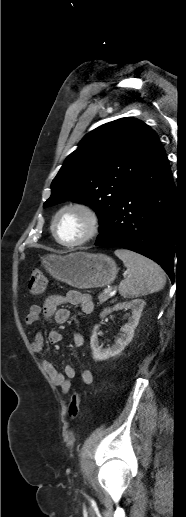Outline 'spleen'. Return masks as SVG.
I'll use <instances>...</instances> for the list:
<instances>
[{
  "label": "spleen",
  "mask_w": 186,
  "mask_h": 517,
  "mask_svg": "<svg viewBox=\"0 0 186 517\" xmlns=\"http://www.w3.org/2000/svg\"><path fill=\"white\" fill-rule=\"evenodd\" d=\"M115 255L127 268V277L119 285V293L124 298H134L163 289L166 283L162 268L135 252L118 249Z\"/></svg>",
  "instance_id": "spleen-1"
}]
</instances>
